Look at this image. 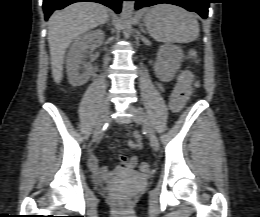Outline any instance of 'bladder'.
<instances>
[{
	"label": "bladder",
	"mask_w": 260,
	"mask_h": 217,
	"mask_svg": "<svg viewBox=\"0 0 260 217\" xmlns=\"http://www.w3.org/2000/svg\"><path fill=\"white\" fill-rule=\"evenodd\" d=\"M128 176L132 178H141V176L136 172H130Z\"/></svg>",
	"instance_id": "1"
}]
</instances>
